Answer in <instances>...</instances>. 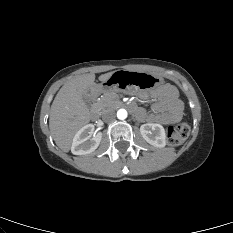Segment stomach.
Listing matches in <instances>:
<instances>
[{
    "label": "stomach",
    "mask_w": 233,
    "mask_h": 233,
    "mask_svg": "<svg viewBox=\"0 0 233 233\" xmlns=\"http://www.w3.org/2000/svg\"><path fill=\"white\" fill-rule=\"evenodd\" d=\"M163 84V79L146 72L121 71L108 80V87L112 91H119L121 88L148 90L153 86Z\"/></svg>",
    "instance_id": "obj_1"
}]
</instances>
